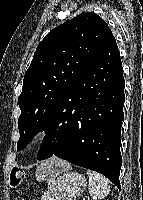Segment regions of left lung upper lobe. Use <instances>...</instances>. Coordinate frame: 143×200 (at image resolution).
Listing matches in <instances>:
<instances>
[{
	"label": "left lung upper lobe",
	"mask_w": 143,
	"mask_h": 200,
	"mask_svg": "<svg viewBox=\"0 0 143 200\" xmlns=\"http://www.w3.org/2000/svg\"><path fill=\"white\" fill-rule=\"evenodd\" d=\"M114 38L106 22L82 13L51 30L39 43L25 73L18 104L20 150L51 120L64 122L63 97Z\"/></svg>",
	"instance_id": "left-lung-upper-lobe-1"
}]
</instances>
